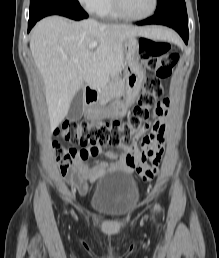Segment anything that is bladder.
<instances>
[{"instance_id": "1", "label": "bladder", "mask_w": 219, "mask_h": 258, "mask_svg": "<svg viewBox=\"0 0 219 258\" xmlns=\"http://www.w3.org/2000/svg\"><path fill=\"white\" fill-rule=\"evenodd\" d=\"M139 198L140 187L137 179L130 173L115 171L96 185L89 206L104 217L121 219L134 211Z\"/></svg>"}]
</instances>
